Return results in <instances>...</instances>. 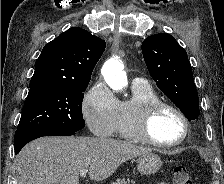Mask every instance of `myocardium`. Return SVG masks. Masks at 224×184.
Segmentation results:
<instances>
[{"mask_svg": "<svg viewBox=\"0 0 224 184\" xmlns=\"http://www.w3.org/2000/svg\"><path fill=\"white\" fill-rule=\"evenodd\" d=\"M170 110L175 113L183 123V134L181 138L177 141L163 143L156 140L153 137L151 126L156 115L163 110ZM133 129L136 136L141 142L147 143L149 145L159 147V148H173L182 144L188 137L190 131L189 120L186 115L175 105L164 101V100H154L146 103L135 115L133 122Z\"/></svg>", "mask_w": 224, "mask_h": 184, "instance_id": "1", "label": "myocardium"}]
</instances>
